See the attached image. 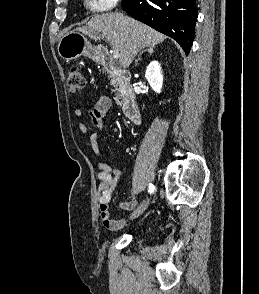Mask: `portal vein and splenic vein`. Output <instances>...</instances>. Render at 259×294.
<instances>
[{
  "label": "portal vein and splenic vein",
  "instance_id": "18ae733b",
  "mask_svg": "<svg viewBox=\"0 0 259 294\" xmlns=\"http://www.w3.org/2000/svg\"><path fill=\"white\" fill-rule=\"evenodd\" d=\"M120 54L116 49H113L112 51V57L114 60H117L119 58Z\"/></svg>",
  "mask_w": 259,
  "mask_h": 294
}]
</instances>
